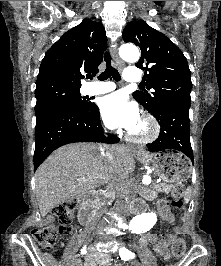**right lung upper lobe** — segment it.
<instances>
[{"label":"right lung upper lobe","mask_w":221,"mask_h":266,"mask_svg":"<svg viewBox=\"0 0 221 266\" xmlns=\"http://www.w3.org/2000/svg\"><path fill=\"white\" fill-rule=\"evenodd\" d=\"M107 37L102 23L84 19L46 52L36 87L64 85L81 87L83 73H98Z\"/></svg>","instance_id":"cb5924a9"}]
</instances>
